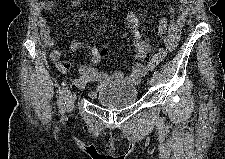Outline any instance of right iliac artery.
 I'll use <instances>...</instances> for the list:
<instances>
[{"mask_svg": "<svg viewBox=\"0 0 225 159\" xmlns=\"http://www.w3.org/2000/svg\"><path fill=\"white\" fill-rule=\"evenodd\" d=\"M68 88L64 87L60 92L59 102L58 106L60 109V112H64L65 110V104H66V97H67Z\"/></svg>", "mask_w": 225, "mask_h": 159, "instance_id": "obj_1", "label": "right iliac artery"}]
</instances>
